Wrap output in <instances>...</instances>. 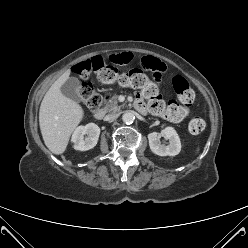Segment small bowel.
Returning a JSON list of instances; mask_svg holds the SVG:
<instances>
[{
  "label": "small bowel",
  "mask_w": 248,
  "mask_h": 248,
  "mask_svg": "<svg viewBox=\"0 0 248 248\" xmlns=\"http://www.w3.org/2000/svg\"><path fill=\"white\" fill-rule=\"evenodd\" d=\"M132 60V56L128 52H121L114 54L108 58V61L114 63V64H127ZM142 66L145 69H149L152 71H155V77L158 78L160 75V72L165 71V65L162 63L159 59L153 58V57H146L142 61ZM136 102L140 103L142 106L141 112H145L146 108L145 105L141 99L140 96L137 97ZM180 120V119H179ZM175 120V122L179 121Z\"/></svg>",
  "instance_id": "c3829d8e"
}]
</instances>
